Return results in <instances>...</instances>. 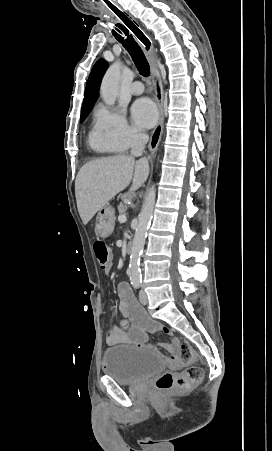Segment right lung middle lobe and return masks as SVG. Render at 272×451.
I'll return each instance as SVG.
<instances>
[{
    "mask_svg": "<svg viewBox=\"0 0 272 451\" xmlns=\"http://www.w3.org/2000/svg\"><path fill=\"white\" fill-rule=\"evenodd\" d=\"M92 108H82L81 110V117H80V122H83L85 120V118L87 117V115L90 113Z\"/></svg>",
    "mask_w": 272,
    "mask_h": 451,
    "instance_id": "1",
    "label": "right lung middle lobe"
}]
</instances>
